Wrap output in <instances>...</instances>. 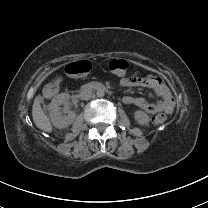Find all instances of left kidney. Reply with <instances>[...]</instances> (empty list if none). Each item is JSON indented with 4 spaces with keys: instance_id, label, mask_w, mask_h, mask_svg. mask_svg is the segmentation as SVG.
<instances>
[{
    "instance_id": "left-kidney-1",
    "label": "left kidney",
    "mask_w": 208,
    "mask_h": 208,
    "mask_svg": "<svg viewBox=\"0 0 208 208\" xmlns=\"http://www.w3.org/2000/svg\"><path fill=\"white\" fill-rule=\"evenodd\" d=\"M135 120L140 124V125H148L150 118L149 116L141 110H138L135 112Z\"/></svg>"
}]
</instances>
